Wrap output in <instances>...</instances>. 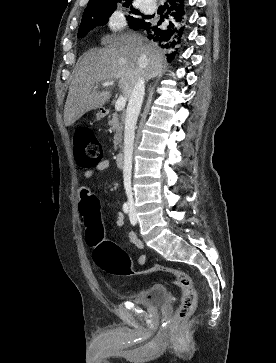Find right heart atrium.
I'll list each match as a JSON object with an SVG mask.
<instances>
[{"label": "right heart atrium", "instance_id": "right-heart-atrium-1", "mask_svg": "<svg viewBox=\"0 0 276 363\" xmlns=\"http://www.w3.org/2000/svg\"><path fill=\"white\" fill-rule=\"evenodd\" d=\"M123 23H124V18L120 13L116 12L112 15L110 19V25L112 27H121Z\"/></svg>", "mask_w": 276, "mask_h": 363}]
</instances>
